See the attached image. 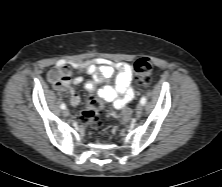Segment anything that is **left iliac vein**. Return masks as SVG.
<instances>
[{
	"label": "left iliac vein",
	"mask_w": 222,
	"mask_h": 187,
	"mask_svg": "<svg viewBox=\"0 0 222 187\" xmlns=\"http://www.w3.org/2000/svg\"><path fill=\"white\" fill-rule=\"evenodd\" d=\"M143 111V105L142 104H138L136 107V115L139 116L142 114Z\"/></svg>",
	"instance_id": "4c4485c4"
}]
</instances>
